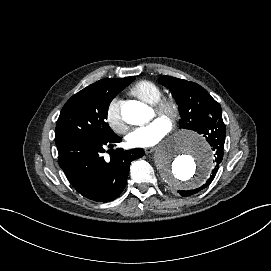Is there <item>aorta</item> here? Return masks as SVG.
I'll return each mask as SVG.
<instances>
[{"instance_id":"obj_1","label":"aorta","mask_w":271,"mask_h":271,"mask_svg":"<svg viewBox=\"0 0 271 271\" xmlns=\"http://www.w3.org/2000/svg\"><path fill=\"white\" fill-rule=\"evenodd\" d=\"M125 122L140 125L149 120L148 107L128 101L121 109ZM161 177L174 189H194L203 184L214 161L207 143L192 132L180 133L163 142L155 152Z\"/></svg>"}]
</instances>
